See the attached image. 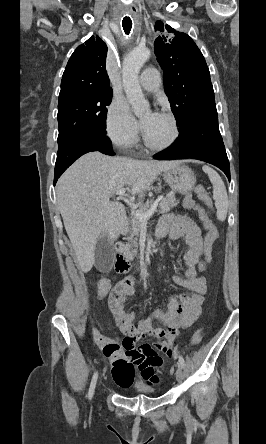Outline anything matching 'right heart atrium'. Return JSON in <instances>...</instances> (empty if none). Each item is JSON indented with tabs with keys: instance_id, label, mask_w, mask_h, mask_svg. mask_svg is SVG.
I'll use <instances>...</instances> for the list:
<instances>
[{
	"instance_id": "d8ad5b80",
	"label": "right heart atrium",
	"mask_w": 266,
	"mask_h": 444,
	"mask_svg": "<svg viewBox=\"0 0 266 444\" xmlns=\"http://www.w3.org/2000/svg\"><path fill=\"white\" fill-rule=\"evenodd\" d=\"M105 128L109 139L120 148L133 146L139 137V125L125 100L113 98L108 107Z\"/></svg>"
}]
</instances>
